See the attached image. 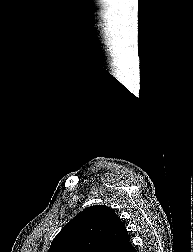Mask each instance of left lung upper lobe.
<instances>
[{
    "label": "left lung upper lobe",
    "instance_id": "1",
    "mask_svg": "<svg viewBox=\"0 0 193 252\" xmlns=\"http://www.w3.org/2000/svg\"><path fill=\"white\" fill-rule=\"evenodd\" d=\"M130 236L109 207H87L56 235L48 252H123Z\"/></svg>",
    "mask_w": 193,
    "mask_h": 252
}]
</instances>
